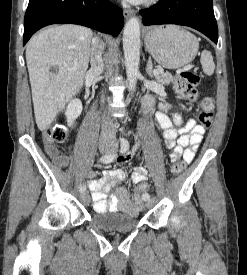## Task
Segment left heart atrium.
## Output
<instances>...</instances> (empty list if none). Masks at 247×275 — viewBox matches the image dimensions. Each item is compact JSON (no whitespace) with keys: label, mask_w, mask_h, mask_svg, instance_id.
<instances>
[{"label":"left heart atrium","mask_w":247,"mask_h":275,"mask_svg":"<svg viewBox=\"0 0 247 275\" xmlns=\"http://www.w3.org/2000/svg\"><path fill=\"white\" fill-rule=\"evenodd\" d=\"M126 1L131 2V3H139V2H141L142 0H126Z\"/></svg>","instance_id":"1"}]
</instances>
